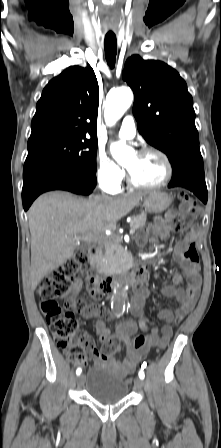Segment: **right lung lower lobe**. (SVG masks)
I'll return each mask as SVG.
<instances>
[{
    "mask_svg": "<svg viewBox=\"0 0 221 448\" xmlns=\"http://www.w3.org/2000/svg\"><path fill=\"white\" fill-rule=\"evenodd\" d=\"M95 186V173L79 170L49 159L25 161L22 190L23 208L27 211L35 198L47 191L66 190L88 195Z\"/></svg>",
    "mask_w": 221,
    "mask_h": 448,
    "instance_id": "1",
    "label": "right lung lower lobe"
}]
</instances>
